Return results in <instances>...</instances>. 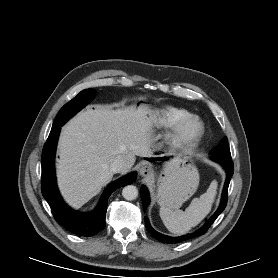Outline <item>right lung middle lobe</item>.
Instances as JSON below:
<instances>
[{
	"instance_id": "dd1d6c3e",
	"label": "right lung middle lobe",
	"mask_w": 278,
	"mask_h": 278,
	"mask_svg": "<svg viewBox=\"0 0 278 278\" xmlns=\"http://www.w3.org/2000/svg\"><path fill=\"white\" fill-rule=\"evenodd\" d=\"M95 96L96 91L94 89H85L81 91L75 98H73L60 109L52 128L62 126L79 110L86 106Z\"/></svg>"
}]
</instances>
